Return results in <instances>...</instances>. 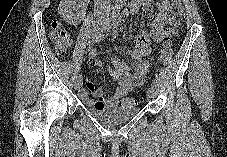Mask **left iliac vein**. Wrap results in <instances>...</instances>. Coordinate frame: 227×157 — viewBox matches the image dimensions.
<instances>
[{"instance_id": "1", "label": "left iliac vein", "mask_w": 227, "mask_h": 157, "mask_svg": "<svg viewBox=\"0 0 227 157\" xmlns=\"http://www.w3.org/2000/svg\"><path fill=\"white\" fill-rule=\"evenodd\" d=\"M147 95L150 97V98H154L156 96V89L155 87L153 86H150L147 90Z\"/></svg>"}]
</instances>
